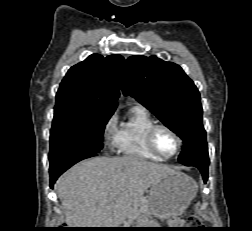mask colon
<instances>
[{
  "instance_id": "obj_1",
  "label": "colon",
  "mask_w": 252,
  "mask_h": 231,
  "mask_svg": "<svg viewBox=\"0 0 252 231\" xmlns=\"http://www.w3.org/2000/svg\"><path fill=\"white\" fill-rule=\"evenodd\" d=\"M187 221L190 225H195V226L199 225L201 222V220L196 216H189Z\"/></svg>"
}]
</instances>
